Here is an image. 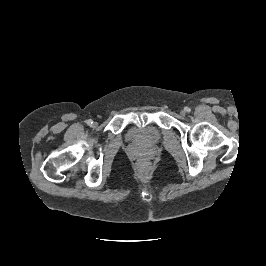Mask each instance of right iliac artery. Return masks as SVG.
Returning a JSON list of instances; mask_svg holds the SVG:
<instances>
[{"label": "right iliac artery", "mask_w": 266, "mask_h": 266, "mask_svg": "<svg viewBox=\"0 0 266 266\" xmlns=\"http://www.w3.org/2000/svg\"><path fill=\"white\" fill-rule=\"evenodd\" d=\"M88 125H92L93 121L91 119L87 120L86 122Z\"/></svg>", "instance_id": "obj_1"}]
</instances>
